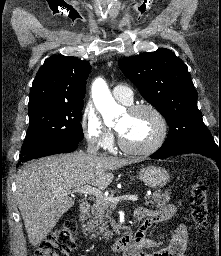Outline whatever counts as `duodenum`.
Returning <instances> with one entry per match:
<instances>
[{"label":"duodenum","instance_id":"410a0bca","mask_svg":"<svg viewBox=\"0 0 221 256\" xmlns=\"http://www.w3.org/2000/svg\"><path fill=\"white\" fill-rule=\"evenodd\" d=\"M90 207H91V204L87 201H83L79 205V212L82 219H84L86 215L89 213ZM135 237H136V233L127 232L112 244L111 246L112 251L116 253L124 252L133 242Z\"/></svg>","mask_w":221,"mask_h":256}]
</instances>
